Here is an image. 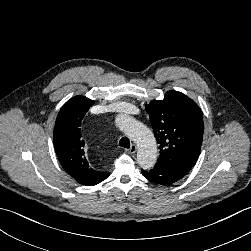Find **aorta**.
Returning <instances> with one entry per match:
<instances>
[{
    "instance_id": "1",
    "label": "aorta",
    "mask_w": 251,
    "mask_h": 251,
    "mask_svg": "<svg viewBox=\"0 0 251 251\" xmlns=\"http://www.w3.org/2000/svg\"><path fill=\"white\" fill-rule=\"evenodd\" d=\"M116 123L138 145L137 162L139 166L144 170L153 168L157 161V144L150 129L128 116H118Z\"/></svg>"
}]
</instances>
